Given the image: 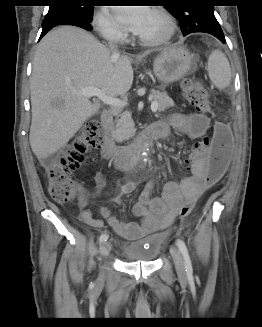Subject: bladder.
<instances>
[{
  "label": "bladder",
  "mask_w": 262,
  "mask_h": 327,
  "mask_svg": "<svg viewBox=\"0 0 262 327\" xmlns=\"http://www.w3.org/2000/svg\"><path fill=\"white\" fill-rule=\"evenodd\" d=\"M166 240V233L149 234L124 244L121 248V257L125 262H154L161 253Z\"/></svg>",
  "instance_id": "obj_1"
}]
</instances>
